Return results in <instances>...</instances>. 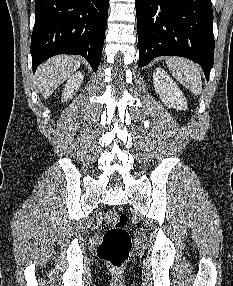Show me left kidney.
Segmentation results:
<instances>
[{
  "label": "left kidney",
  "mask_w": 233,
  "mask_h": 286,
  "mask_svg": "<svg viewBox=\"0 0 233 286\" xmlns=\"http://www.w3.org/2000/svg\"><path fill=\"white\" fill-rule=\"evenodd\" d=\"M153 83L156 93L162 102L170 108L186 110L187 101L173 79L161 68L153 73Z\"/></svg>",
  "instance_id": "obj_1"
}]
</instances>
